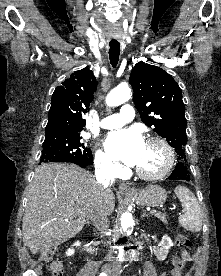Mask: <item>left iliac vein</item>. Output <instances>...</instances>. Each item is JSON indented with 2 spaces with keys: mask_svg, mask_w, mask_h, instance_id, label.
<instances>
[{
  "mask_svg": "<svg viewBox=\"0 0 221 276\" xmlns=\"http://www.w3.org/2000/svg\"><path fill=\"white\" fill-rule=\"evenodd\" d=\"M109 275H110V276H119V274H118V273H115V272H110Z\"/></svg>",
  "mask_w": 221,
  "mask_h": 276,
  "instance_id": "obj_1",
  "label": "left iliac vein"
}]
</instances>
